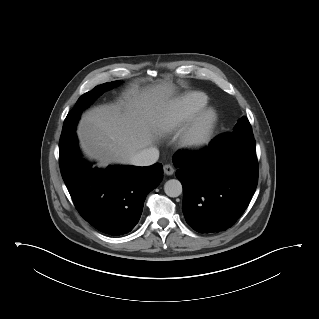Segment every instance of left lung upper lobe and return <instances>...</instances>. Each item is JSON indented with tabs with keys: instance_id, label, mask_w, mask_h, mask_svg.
Listing matches in <instances>:
<instances>
[{
	"instance_id": "5c2ea615",
	"label": "left lung upper lobe",
	"mask_w": 319,
	"mask_h": 319,
	"mask_svg": "<svg viewBox=\"0 0 319 319\" xmlns=\"http://www.w3.org/2000/svg\"><path fill=\"white\" fill-rule=\"evenodd\" d=\"M231 134L253 137L251 125L245 116L238 120Z\"/></svg>"
}]
</instances>
